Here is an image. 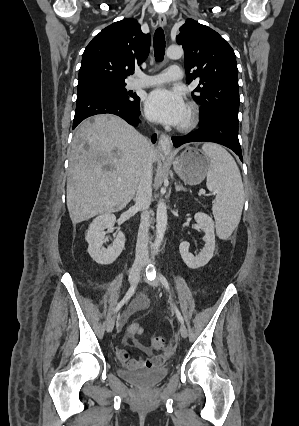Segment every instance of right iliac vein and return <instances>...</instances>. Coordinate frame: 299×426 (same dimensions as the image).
<instances>
[{
  "label": "right iliac vein",
  "instance_id": "obj_1",
  "mask_svg": "<svg viewBox=\"0 0 299 426\" xmlns=\"http://www.w3.org/2000/svg\"><path fill=\"white\" fill-rule=\"evenodd\" d=\"M141 267H134L131 269L129 273V282L130 284H136L140 279ZM115 325V316L110 317L107 322L106 330L107 332H111Z\"/></svg>",
  "mask_w": 299,
  "mask_h": 426
}]
</instances>
